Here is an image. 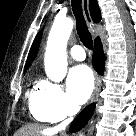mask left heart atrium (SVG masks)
<instances>
[{
	"instance_id": "obj_1",
	"label": "left heart atrium",
	"mask_w": 136,
	"mask_h": 136,
	"mask_svg": "<svg viewBox=\"0 0 136 136\" xmlns=\"http://www.w3.org/2000/svg\"><path fill=\"white\" fill-rule=\"evenodd\" d=\"M94 88V77L86 65L72 68L67 78V89L70 99L76 104L84 103Z\"/></svg>"
}]
</instances>
